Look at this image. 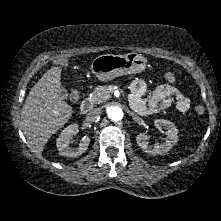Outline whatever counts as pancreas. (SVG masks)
I'll use <instances>...</instances> for the list:
<instances>
[{
	"label": "pancreas",
	"mask_w": 221,
	"mask_h": 221,
	"mask_svg": "<svg viewBox=\"0 0 221 221\" xmlns=\"http://www.w3.org/2000/svg\"><path fill=\"white\" fill-rule=\"evenodd\" d=\"M112 86H98L94 89L92 96L88 98V101L92 106L106 102L111 97Z\"/></svg>",
	"instance_id": "pancreas-1"
}]
</instances>
